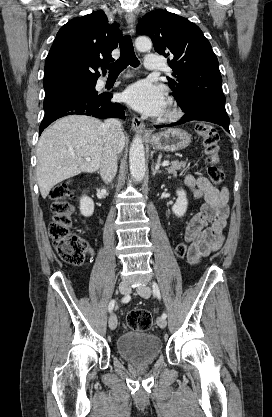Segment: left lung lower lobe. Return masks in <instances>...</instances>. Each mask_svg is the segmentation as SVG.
I'll return each mask as SVG.
<instances>
[{
	"instance_id": "left-lung-lower-lobe-1",
	"label": "left lung lower lobe",
	"mask_w": 272,
	"mask_h": 417,
	"mask_svg": "<svg viewBox=\"0 0 272 417\" xmlns=\"http://www.w3.org/2000/svg\"><path fill=\"white\" fill-rule=\"evenodd\" d=\"M182 109L185 112V115L182 117V119L170 125H165L166 127L179 125L192 120H201L218 124L222 126L227 132H230V119L227 113L215 111L208 107H201L196 105H190L189 107H184ZM160 127L164 126H156V128Z\"/></svg>"
}]
</instances>
